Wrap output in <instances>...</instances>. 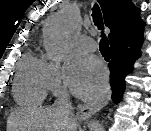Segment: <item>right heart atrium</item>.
<instances>
[{
  "label": "right heart atrium",
  "mask_w": 151,
  "mask_h": 131,
  "mask_svg": "<svg viewBox=\"0 0 151 131\" xmlns=\"http://www.w3.org/2000/svg\"><path fill=\"white\" fill-rule=\"evenodd\" d=\"M46 62V76L48 90L55 94L63 93L64 87V70L60 63L56 61H45Z\"/></svg>",
  "instance_id": "1"
}]
</instances>
